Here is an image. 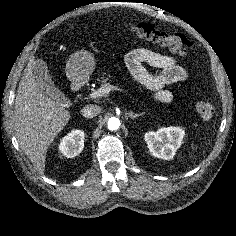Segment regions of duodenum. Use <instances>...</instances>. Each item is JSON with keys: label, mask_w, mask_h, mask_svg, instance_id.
Instances as JSON below:
<instances>
[{"label": "duodenum", "mask_w": 236, "mask_h": 236, "mask_svg": "<svg viewBox=\"0 0 236 236\" xmlns=\"http://www.w3.org/2000/svg\"><path fill=\"white\" fill-rule=\"evenodd\" d=\"M82 87H83V84L79 80H75L71 85V89L74 93L79 92L82 89Z\"/></svg>", "instance_id": "410a0bca"}]
</instances>
